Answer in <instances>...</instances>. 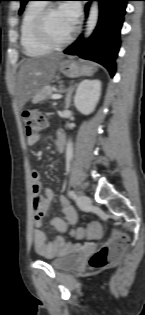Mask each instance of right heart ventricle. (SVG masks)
I'll list each match as a JSON object with an SVG mask.
<instances>
[{"label":"right heart ventricle","instance_id":"e07e8e85","mask_svg":"<svg viewBox=\"0 0 145 315\" xmlns=\"http://www.w3.org/2000/svg\"><path fill=\"white\" fill-rule=\"evenodd\" d=\"M45 7L40 1H34L26 7L20 25V42L24 53L28 56H42L50 49L41 44L34 36L33 23L38 13Z\"/></svg>","mask_w":145,"mask_h":315}]
</instances>
